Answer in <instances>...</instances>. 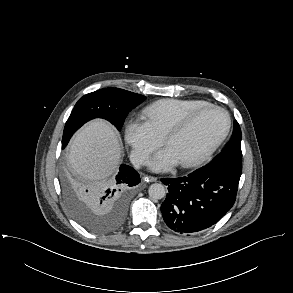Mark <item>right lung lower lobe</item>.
<instances>
[{
  "label": "right lung lower lobe",
  "instance_id": "obj_1",
  "mask_svg": "<svg viewBox=\"0 0 293 293\" xmlns=\"http://www.w3.org/2000/svg\"><path fill=\"white\" fill-rule=\"evenodd\" d=\"M140 182L138 172L122 164L119 173L112 181L96 188L81 187L82 199L97 214H108L115 226L107 232L117 229L123 222L127 200L126 191Z\"/></svg>",
  "mask_w": 293,
  "mask_h": 293
}]
</instances>
